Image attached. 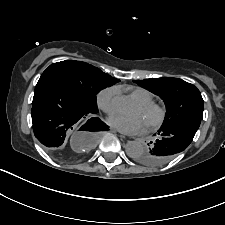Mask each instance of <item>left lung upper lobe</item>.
Segmentation results:
<instances>
[{
	"mask_svg": "<svg viewBox=\"0 0 225 225\" xmlns=\"http://www.w3.org/2000/svg\"><path fill=\"white\" fill-rule=\"evenodd\" d=\"M139 86L159 95L166 105V115L160 129L167 128L187 119L203 117V98L200 91L192 84L178 78H155L134 80ZM147 158V151L135 159L142 163ZM143 164V163H142Z\"/></svg>",
	"mask_w": 225,
	"mask_h": 225,
	"instance_id": "left-lung-upper-lobe-1",
	"label": "left lung upper lobe"
}]
</instances>
